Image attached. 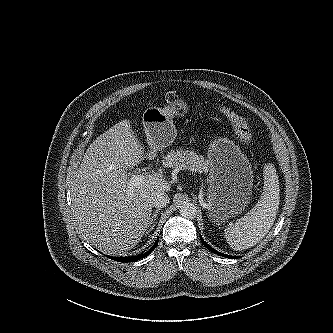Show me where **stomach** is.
<instances>
[{"label": "stomach", "mask_w": 333, "mask_h": 333, "mask_svg": "<svg viewBox=\"0 0 333 333\" xmlns=\"http://www.w3.org/2000/svg\"><path fill=\"white\" fill-rule=\"evenodd\" d=\"M188 109L183 99L176 98L165 108L149 107L144 111L142 123L152 151L173 143L177 135L173 117L184 116ZM207 157L210 172L208 217L220 224L258 202L262 194V177L257 166L248 161L239 147L228 138L214 140Z\"/></svg>", "instance_id": "0dacf381"}]
</instances>
